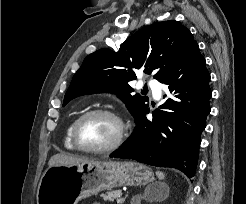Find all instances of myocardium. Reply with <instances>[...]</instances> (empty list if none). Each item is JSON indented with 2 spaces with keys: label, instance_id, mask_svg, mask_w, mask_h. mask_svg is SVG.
<instances>
[{
  "label": "myocardium",
  "instance_id": "myocardium-1",
  "mask_svg": "<svg viewBox=\"0 0 246 204\" xmlns=\"http://www.w3.org/2000/svg\"><path fill=\"white\" fill-rule=\"evenodd\" d=\"M94 115H104L112 118L117 124L118 131L116 137L109 145L101 148H86L79 143L78 131L81 123L88 117ZM126 135H127V126L124 120L122 119V117L117 112L106 108H94L84 112L75 120L72 127L71 138L75 148L81 152H85L89 154H105L118 149L123 144Z\"/></svg>",
  "mask_w": 246,
  "mask_h": 204
}]
</instances>
